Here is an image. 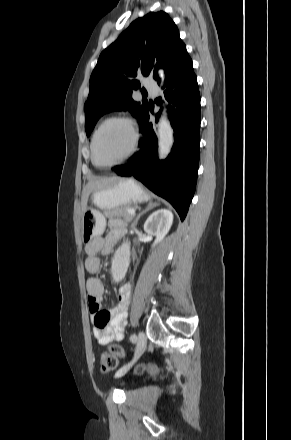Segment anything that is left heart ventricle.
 Here are the masks:
<instances>
[{"label":"left heart ventricle","mask_w":291,"mask_h":440,"mask_svg":"<svg viewBox=\"0 0 291 440\" xmlns=\"http://www.w3.org/2000/svg\"><path fill=\"white\" fill-rule=\"evenodd\" d=\"M132 136L125 124L113 122L99 132L95 145V158L100 164L122 159L130 149Z\"/></svg>","instance_id":"1"}]
</instances>
